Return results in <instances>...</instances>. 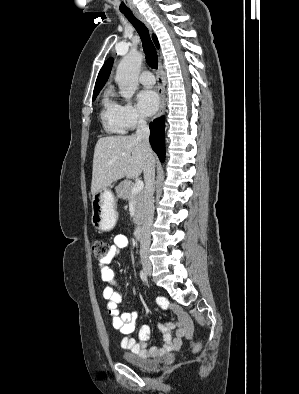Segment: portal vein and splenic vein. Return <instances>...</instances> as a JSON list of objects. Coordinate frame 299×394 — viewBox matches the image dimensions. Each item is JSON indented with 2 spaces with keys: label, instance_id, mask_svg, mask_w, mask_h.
I'll return each instance as SVG.
<instances>
[{
  "label": "portal vein and splenic vein",
  "instance_id": "1",
  "mask_svg": "<svg viewBox=\"0 0 299 394\" xmlns=\"http://www.w3.org/2000/svg\"><path fill=\"white\" fill-rule=\"evenodd\" d=\"M143 188H144L143 181H141V180L136 181L134 184V187L132 189V194L134 195L136 193L141 192L143 190Z\"/></svg>",
  "mask_w": 299,
  "mask_h": 394
}]
</instances>
